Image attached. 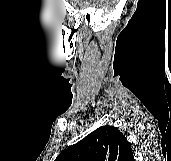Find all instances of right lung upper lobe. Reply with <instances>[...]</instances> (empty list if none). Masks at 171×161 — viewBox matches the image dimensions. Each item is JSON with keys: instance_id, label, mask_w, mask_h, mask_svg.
<instances>
[{"instance_id": "obj_1", "label": "right lung upper lobe", "mask_w": 171, "mask_h": 161, "mask_svg": "<svg viewBox=\"0 0 171 161\" xmlns=\"http://www.w3.org/2000/svg\"><path fill=\"white\" fill-rule=\"evenodd\" d=\"M55 161H135L131 143L114 126H102L62 151Z\"/></svg>"}]
</instances>
